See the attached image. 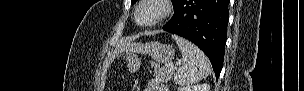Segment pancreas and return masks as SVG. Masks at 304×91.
I'll return each mask as SVG.
<instances>
[{
    "instance_id": "pancreas-1",
    "label": "pancreas",
    "mask_w": 304,
    "mask_h": 91,
    "mask_svg": "<svg viewBox=\"0 0 304 91\" xmlns=\"http://www.w3.org/2000/svg\"><path fill=\"white\" fill-rule=\"evenodd\" d=\"M154 75L159 81L168 82L172 78L173 71L168 66L154 67Z\"/></svg>"
}]
</instances>
